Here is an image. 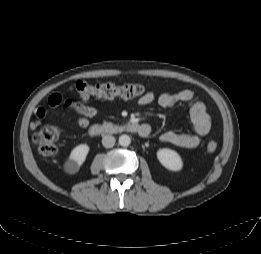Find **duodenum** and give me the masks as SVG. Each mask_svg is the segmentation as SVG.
Segmentation results:
<instances>
[{"label":"duodenum","mask_w":261,"mask_h":254,"mask_svg":"<svg viewBox=\"0 0 261 254\" xmlns=\"http://www.w3.org/2000/svg\"><path fill=\"white\" fill-rule=\"evenodd\" d=\"M151 131V127L140 125L136 122H127V123H103V124H95L89 128V134L91 136L98 135H108V134H121V133H132L139 134L140 136H144L149 134Z\"/></svg>","instance_id":"410a0bca"}]
</instances>
